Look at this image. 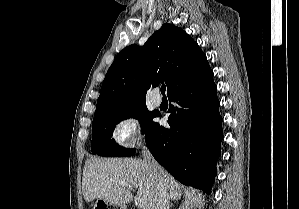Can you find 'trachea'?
I'll return each mask as SVG.
<instances>
[{"label": "trachea", "mask_w": 299, "mask_h": 209, "mask_svg": "<svg viewBox=\"0 0 299 209\" xmlns=\"http://www.w3.org/2000/svg\"><path fill=\"white\" fill-rule=\"evenodd\" d=\"M165 91H166V86H165V85H162V86H161V93H162L163 95H165Z\"/></svg>", "instance_id": "1"}]
</instances>
